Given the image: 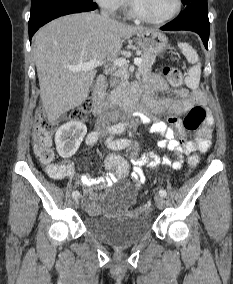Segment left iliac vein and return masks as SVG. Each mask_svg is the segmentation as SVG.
<instances>
[{
	"instance_id": "1",
	"label": "left iliac vein",
	"mask_w": 233,
	"mask_h": 284,
	"mask_svg": "<svg viewBox=\"0 0 233 284\" xmlns=\"http://www.w3.org/2000/svg\"><path fill=\"white\" fill-rule=\"evenodd\" d=\"M155 203L159 209H162L165 206V200L161 195L155 196Z\"/></svg>"
}]
</instances>
